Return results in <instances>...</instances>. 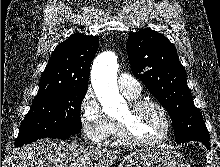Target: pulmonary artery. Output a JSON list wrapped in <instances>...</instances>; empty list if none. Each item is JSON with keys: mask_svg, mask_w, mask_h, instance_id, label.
<instances>
[{"mask_svg": "<svg viewBox=\"0 0 220 167\" xmlns=\"http://www.w3.org/2000/svg\"><path fill=\"white\" fill-rule=\"evenodd\" d=\"M118 86L120 91L127 97H136L141 92L139 82L131 75L121 73L118 76Z\"/></svg>", "mask_w": 220, "mask_h": 167, "instance_id": "pulmonary-artery-1", "label": "pulmonary artery"}]
</instances>
